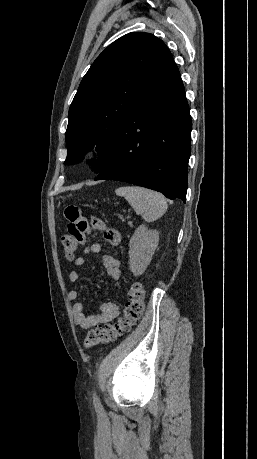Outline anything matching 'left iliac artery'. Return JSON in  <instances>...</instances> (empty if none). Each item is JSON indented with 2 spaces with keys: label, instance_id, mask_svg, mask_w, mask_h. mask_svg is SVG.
<instances>
[{
  "label": "left iliac artery",
  "instance_id": "1",
  "mask_svg": "<svg viewBox=\"0 0 257 459\" xmlns=\"http://www.w3.org/2000/svg\"><path fill=\"white\" fill-rule=\"evenodd\" d=\"M93 402H94V406H95L96 412L102 413L103 412V407H102L101 402H100V400H99V398H98V396L96 395L95 392L93 394Z\"/></svg>",
  "mask_w": 257,
  "mask_h": 459
}]
</instances>
